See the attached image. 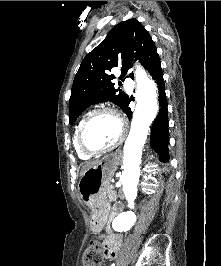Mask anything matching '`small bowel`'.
Masks as SVG:
<instances>
[{"label":"small bowel","mask_w":221,"mask_h":266,"mask_svg":"<svg viewBox=\"0 0 221 266\" xmlns=\"http://www.w3.org/2000/svg\"><path fill=\"white\" fill-rule=\"evenodd\" d=\"M117 214H114L116 217ZM123 237L120 233L109 230L104 242V256L106 258H114L118 255Z\"/></svg>","instance_id":"obj_1"}]
</instances>
